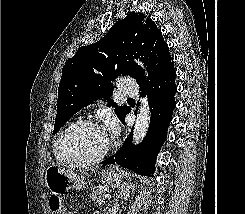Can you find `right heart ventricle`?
<instances>
[{
	"label": "right heart ventricle",
	"instance_id": "e07e8e85",
	"mask_svg": "<svg viewBox=\"0 0 245 214\" xmlns=\"http://www.w3.org/2000/svg\"><path fill=\"white\" fill-rule=\"evenodd\" d=\"M72 124H73V122L70 123L69 125H67V126L60 132V134L57 136V138L55 139L54 144H53V153H54V155H55L57 161L60 162V163L63 164V165H70V164L65 163L64 161H62V160L59 158L58 153H57V143H58V140H59L60 136L63 134V132H64L70 125H72Z\"/></svg>",
	"mask_w": 245,
	"mask_h": 214
}]
</instances>
